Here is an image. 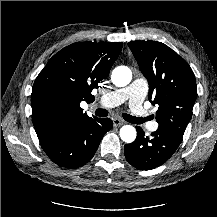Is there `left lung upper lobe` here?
<instances>
[{
	"mask_svg": "<svg viewBox=\"0 0 217 217\" xmlns=\"http://www.w3.org/2000/svg\"><path fill=\"white\" fill-rule=\"evenodd\" d=\"M149 83V101L159 105L156 121L183 137L197 96L195 75L188 63L161 42L128 43Z\"/></svg>",
	"mask_w": 217,
	"mask_h": 217,
	"instance_id": "obj_1",
	"label": "left lung upper lobe"
}]
</instances>
